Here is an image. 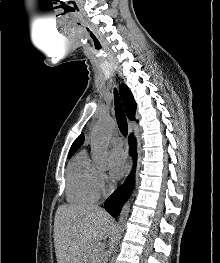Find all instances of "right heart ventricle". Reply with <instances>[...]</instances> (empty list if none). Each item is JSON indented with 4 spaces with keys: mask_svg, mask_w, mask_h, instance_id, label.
I'll use <instances>...</instances> for the list:
<instances>
[{
    "mask_svg": "<svg viewBox=\"0 0 220 263\" xmlns=\"http://www.w3.org/2000/svg\"><path fill=\"white\" fill-rule=\"evenodd\" d=\"M66 181V197L70 203H92L98 199L100 189L97 170L84 151L79 152L69 163Z\"/></svg>",
    "mask_w": 220,
    "mask_h": 263,
    "instance_id": "1",
    "label": "right heart ventricle"
}]
</instances>
